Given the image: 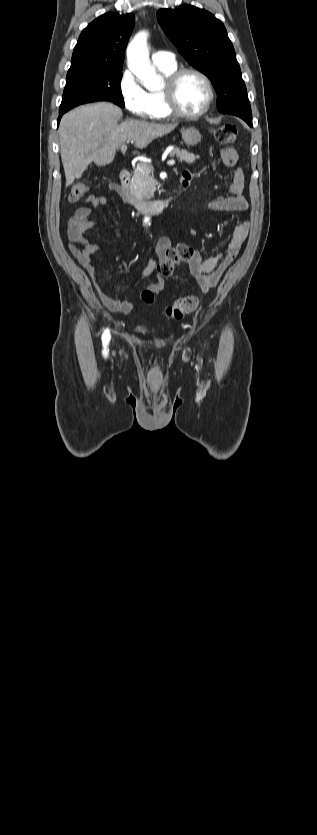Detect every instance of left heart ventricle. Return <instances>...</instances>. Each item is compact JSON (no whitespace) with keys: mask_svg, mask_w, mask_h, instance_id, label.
Listing matches in <instances>:
<instances>
[{"mask_svg":"<svg viewBox=\"0 0 317 835\" xmlns=\"http://www.w3.org/2000/svg\"><path fill=\"white\" fill-rule=\"evenodd\" d=\"M176 97L181 110L192 114L204 106L208 91L200 77L187 74L179 82Z\"/></svg>","mask_w":317,"mask_h":835,"instance_id":"left-heart-ventricle-1","label":"left heart ventricle"}]
</instances>
